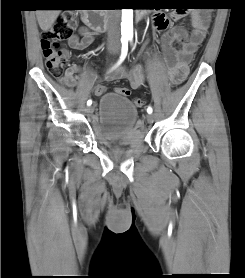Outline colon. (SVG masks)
Listing matches in <instances>:
<instances>
[{"mask_svg":"<svg viewBox=\"0 0 245 278\" xmlns=\"http://www.w3.org/2000/svg\"><path fill=\"white\" fill-rule=\"evenodd\" d=\"M206 11H213L214 7L211 4L200 5ZM75 26L74 18L69 14H59L54 22V25L42 32L41 46L43 55L46 61V67L50 74L59 80H63V71L67 65L69 59V53L60 48L59 41L63 38H67L71 35ZM181 83V78H174L173 84L178 85ZM117 94L128 97L130 90L125 87H118L116 89ZM133 103L137 107H141L144 104L142 98H135Z\"/></svg>","mask_w":245,"mask_h":278,"instance_id":"colon-1","label":"colon"}]
</instances>
